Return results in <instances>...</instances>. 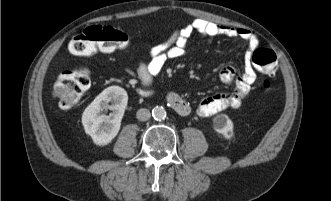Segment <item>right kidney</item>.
I'll return each mask as SVG.
<instances>
[{
  "label": "right kidney",
  "mask_w": 331,
  "mask_h": 201,
  "mask_svg": "<svg viewBox=\"0 0 331 201\" xmlns=\"http://www.w3.org/2000/svg\"><path fill=\"white\" fill-rule=\"evenodd\" d=\"M127 102L128 95L123 88L110 86L84 110L82 124L86 134L91 136L95 144L107 145L117 136ZM107 109L112 112L109 115L102 114Z\"/></svg>",
  "instance_id": "obj_1"
}]
</instances>
